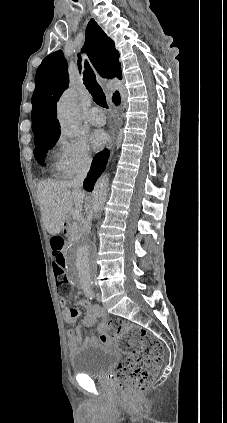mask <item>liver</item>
Here are the masks:
<instances>
[{"mask_svg": "<svg viewBox=\"0 0 227 423\" xmlns=\"http://www.w3.org/2000/svg\"><path fill=\"white\" fill-rule=\"evenodd\" d=\"M37 196L45 229L51 235L60 233L70 210L82 211L88 196L83 190H74L70 182H40ZM69 231V229H68Z\"/></svg>", "mask_w": 227, "mask_h": 423, "instance_id": "1", "label": "liver"}]
</instances>
